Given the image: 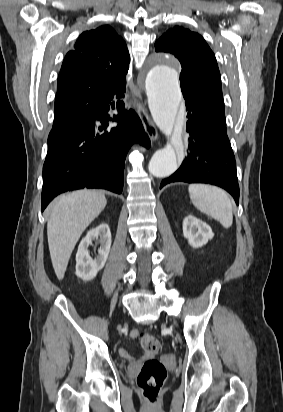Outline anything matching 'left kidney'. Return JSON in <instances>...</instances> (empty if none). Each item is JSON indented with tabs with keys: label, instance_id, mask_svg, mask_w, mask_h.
<instances>
[{
	"label": "left kidney",
	"instance_id": "5707ae66",
	"mask_svg": "<svg viewBox=\"0 0 283 412\" xmlns=\"http://www.w3.org/2000/svg\"><path fill=\"white\" fill-rule=\"evenodd\" d=\"M183 235L188 240L190 246L199 248L205 245L209 239H212L214 233L205 222L192 215H188L183 220Z\"/></svg>",
	"mask_w": 283,
	"mask_h": 412
}]
</instances>
